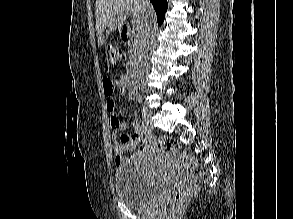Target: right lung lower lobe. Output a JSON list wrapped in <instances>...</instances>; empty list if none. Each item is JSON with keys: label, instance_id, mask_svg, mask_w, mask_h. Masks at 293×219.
I'll return each instance as SVG.
<instances>
[{"label": "right lung lower lobe", "instance_id": "obj_1", "mask_svg": "<svg viewBox=\"0 0 293 219\" xmlns=\"http://www.w3.org/2000/svg\"><path fill=\"white\" fill-rule=\"evenodd\" d=\"M150 2L156 11L157 22L161 25L164 21L165 12L168 7L167 0H150Z\"/></svg>", "mask_w": 293, "mask_h": 219}]
</instances>
